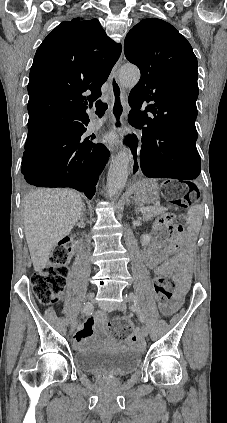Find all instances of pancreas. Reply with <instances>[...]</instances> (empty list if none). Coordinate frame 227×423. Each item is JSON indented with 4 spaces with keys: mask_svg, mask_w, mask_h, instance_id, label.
Here are the masks:
<instances>
[{
    "mask_svg": "<svg viewBox=\"0 0 227 423\" xmlns=\"http://www.w3.org/2000/svg\"><path fill=\"white\" fill-rule=\"evenodd\" d=\"M154 208H157V210L144 211L143 215L145 219H150V217H154L157 213H162V211H164L163 208H159V206H154Z\"/></svg>",
    "mask_w": 227,
    "mask_h": 423,
    "instance_id": "1",
    "label": "pancreas"
}]
</instances>
